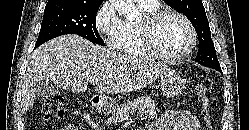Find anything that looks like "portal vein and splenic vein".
Segmentation results:
<instances>
[{
	"label": "portal vein and splenic vein",
	"mask_w": 249,
	"mask_h": 130,
	"mask_svg": "<svg viewBox=\"0 0 249 130\" xmlns=\"http://www.w3.org/2000/svg\"><path fill=\"white\" fill-rule=\"evenodd\" d=\"M88 81L91 82V83H93V84H95V83L98 82V80H96V79H88Z\"/></svg>",
	"instance_id": "1"
}]
</instances>
